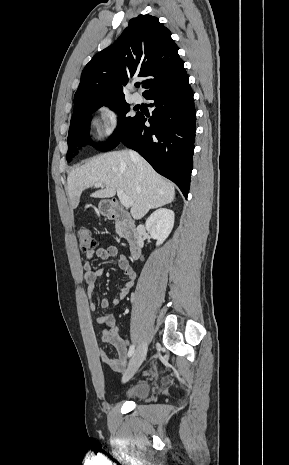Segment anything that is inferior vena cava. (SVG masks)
I'll list each match as a JSON object with an SVG mask.
<instances>
[{"instance_id": "602c4592", "label": "inferior vena cava", "mask_w": 289, "mask_h": 465, "mask_svg": "<svg viewBox=\"0 0 289 465\" xmlns=\"http://www.w3.org/2000/svg\"><path fill=\"white\" fill-rule=\"evenodd\" d=\"M129 155L131 157V160L133 161L134 164H140L141 163V157L140 155L133 151V150H129Z\"/></svg>"}]
</instances>
